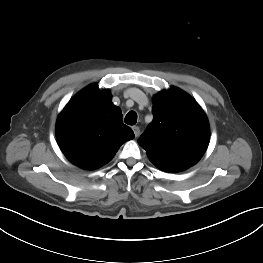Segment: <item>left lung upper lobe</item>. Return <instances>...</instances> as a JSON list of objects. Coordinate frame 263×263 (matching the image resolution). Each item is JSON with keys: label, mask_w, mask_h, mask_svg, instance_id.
I'll return each instance as SVG.
<instances>
[{"label": "left lung upper lobe", "mask_w": 263, "mask_h": 263, "mask_svg": "<svg viewBox=\"0 0 263 263\" xmlns=\"http://www.w3.org/2000/svg\"><path fill=\"white\" fill-rule=\"evenodd\" d=\"M153 121L138 139L152 163L189 168L205 153L210 137L208 119L199 104L176 87L153 98Z\"/></svg>", "instance_id": "obj_1"}]
</instances>
